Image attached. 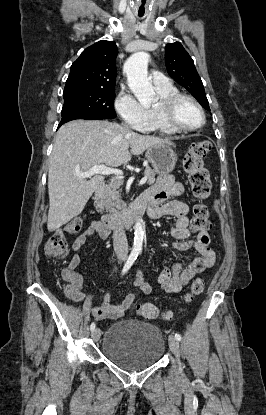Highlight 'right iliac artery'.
Returning a JSON list of instances; mask_svg holds the SVG:
<instances>
[{"instance_id": "82829eb1", "label": "right iliac artery", "mask_w": 266, "mask_h": 415, "mask_svg": "<svg viewBox=\"0 0 266 415\" xmlns=\"http://www.w3.org/2000/svg\"><path fill=\"white\" fill-rule=\"evenodd\" d=\"M138 256V252L137 251H132L131 254L129 255L128 260L126 261L123 269H122V274H125L130 267L133 265L134 261L137 259ZM90 329L91 331H93L95 329V323H92L90 325Z\"/></svg>"}]
</instances>
